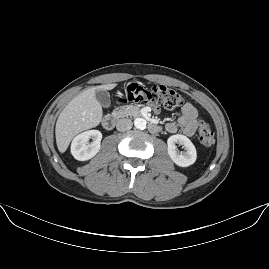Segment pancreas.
I'll return each instance as SVG.
<instances>
[{"mask_svg": "<svg viewBox=\"0 0 269 269\" xmlns=\"http://www.w3.org/2000/svg\"><path fill=\"white\" fill-rule=\"evenodd\" d=\"M140 108L134 105L121 106L113 110L112 115L116 118H123L128 116H138Z\"/></svg>", "mask_w": 269, "mask_h": 269, "instance_id": "cf45deb5", "label": "pancreas"}]
</instances>
